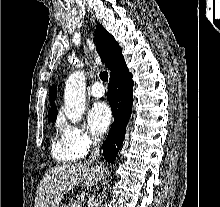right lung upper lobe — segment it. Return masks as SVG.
I'll return each instance as SVG.
<instances>
[{
	"mask_svg": "<svg viewBox=\"0 0 220 207\" xmlns=\"http://www.w3.org/2000/svg\"><path fill=\"white\" fill-rule=\"evenodd\" d=\"M94 43L102 62L108 66L109 70H112L114 65L123 58L119 44L100 24L96 26ZM49 95L51 108L48 112V121H51L57 118V107L54 103L57 97V88L55 85H52V87L49 88Z\"/></svg>",
	"mask_w": 220,
	"mask_h": 207,
	"instance_id": "obj_1",
	"label": "right lung upper lobe"
}]
</instances>
